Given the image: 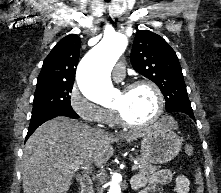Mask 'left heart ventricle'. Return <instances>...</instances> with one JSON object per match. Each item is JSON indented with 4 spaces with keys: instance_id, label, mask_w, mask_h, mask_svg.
<instances>
[{
    "instance_id": "1",
    "label": "left heart ventricle",
    "mask_w": 221,
    "mask_h": 193,
    "mask_svg": "<svg viewBox=\"0 0 221 193\" xmlns=\"http://www.w3.org/2000/svg\"><path fill=\"white\" fill-rule=\"evenodd\" d=\"M156 97L148 86H139L130 91H121L114 107L119 108L125 117L132 122H146L155 113Z\"/></svg>"
}]
</instances>
